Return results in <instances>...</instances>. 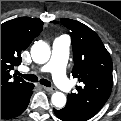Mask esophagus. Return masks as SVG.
I'll list each match as a JSON object with an SVG mask.
<instances>
[{
	"label": "esophagus",
	"instance_id": "esophagus-1",
	"mask_svg": "<svg viewBox=\"0 0 121 121\" xmlns=\"http://www.w3.org/2000/svg\"><path fill=\"white\" fill-rule=\"evenodd\" d=\"M47 92L49 93H53L54 92V89L53 88H50V87H43Z\"/></svg>",
	"mask_w": 121,
	"mask_h": 121
}]
</instances>
